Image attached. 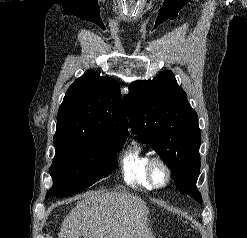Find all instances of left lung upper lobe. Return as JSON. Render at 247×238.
<instances>
[{
	"label": "left lung upper lobe",
	"mask_w": 247,
	"mask_h": 238,
	"mask_svg": "<svg viewBox=\"0 0 247 238\" xmlns=\"http://www.w3.org/2000/svg\"><path fill=\"white\" fill-rule=\"evenodd\" d=\"M123 101L132 132L171 168L179 191L202 203L196 188L201 143L198 117L174 74L166 70L151 81L132 83Z\"/></svg>",
	"instance_id": "obj_1"
}]
</instances>
